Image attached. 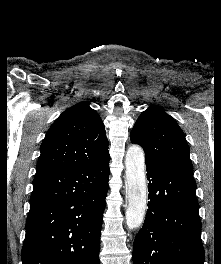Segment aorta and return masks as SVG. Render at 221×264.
Wrapping results in <instances>:
<instances>
[{
	"label": "aorta",
	"mask_w": 221,
	"mask_h": 264,
	"mask_svg": "<svg viewBox=\"0 0 221 264\" xmlns=\"http://www.w3.org/2000/svg\"><path fill=\"white\" fill-rule=\"evenodd\" d=\"M125 165L128 201L126 224L129 230H135L142 225L147 209V185L143 149L137 145L129 147L125 156Z\"/></svg>",
	"instance_id": "aorta-1"
}]
</instances>
